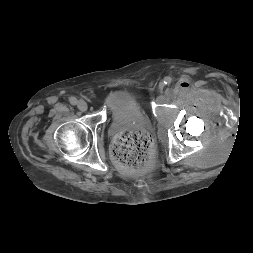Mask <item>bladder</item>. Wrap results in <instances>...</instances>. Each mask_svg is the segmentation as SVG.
Instances as JSON below:
<instances>
[{
    "mask_svg": "<svg viewBox=\"0 0 253 253\" xmlns=\"http://www.w3.org/2000/svg\"><path fill=\"white\" fill-rule=\"evenodd\" d=\"M143 102V96L140 91L132 87L113 89L105 99L107 109L113 114L140 109L143 106Z\"/></svg>",
    "mask_w": 253,
    "mask_h": 253,
    "instance_id": "1",
    "label": "bladder"
}]
</instances>
